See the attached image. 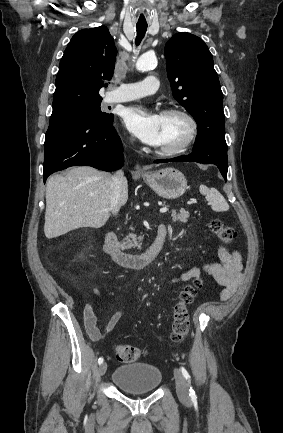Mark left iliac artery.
<instances>
[{"label":"left iliac artery","mask_w":283,"mask_h":433,"mask_svg":"<svg viewBox=\"0 0 283 433\" xmlns=\"http://www.w3.org/2000/svg\"><path fill=\"white\" fill-rule=\"evenodd\" d=\"M181 372H182L183 376L185 377V379L188 381V384L190 385V375L183 366H181ZM189 396L191 397L192 400L197 398L195 391L192 389L191 386L189 388Z\"/></svg>","instance_id":"obj_1"}]
</instances>
